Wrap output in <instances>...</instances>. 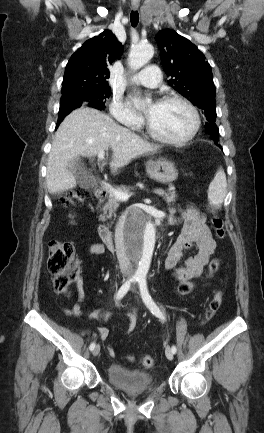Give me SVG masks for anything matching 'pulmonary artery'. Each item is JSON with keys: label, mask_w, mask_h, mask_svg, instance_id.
<instances>
[{"label": "pulmonary artery", "mask_w": 264, "mask_h": 433, "mask_svg": "<svg viewBox=\"0 0 264 433\" xmlns=\"http://www.w3.org/2000/svg\"><path fill=\"white\" fill-rule=\"evenodd\" d=\"M132 80L143 86L155 88L161 81L160 69L156 65H149L135 75Z\"/></svg>", "instance_id": "pulmonary-artery-1"}]
</instances>
